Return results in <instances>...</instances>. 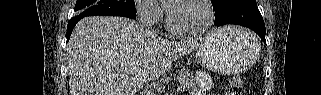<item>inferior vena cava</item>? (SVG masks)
<instances>
[{
    "instance_id": "obj_1",
    "label": "inferior vena cava",
    "mask_w": 321,
    "mask_h": 95,
    "mask_svg": "<svg viewBox=\"0 0 321 95\" xmlns=\"http://www.w3.org/2000/svg\"><path fill=\"white\" fill-rule=\"evenodd\" d=\"M140 95H155V87L153 85L147 84L141 87Z\"/></svg>"
}]
</instances>
